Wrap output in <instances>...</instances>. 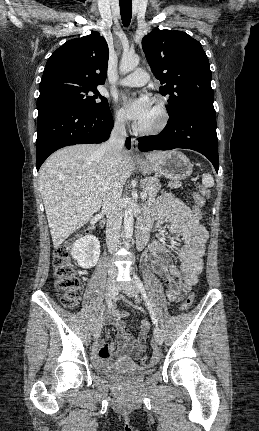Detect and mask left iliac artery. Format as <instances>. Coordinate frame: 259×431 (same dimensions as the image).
<instances>
[{"label": "left iliac artery", "mask_w": 259, "mask_h": 431, "mask_svg": "<svg viewBox=\"0 0 259 431\" xmlns=\"http://www.w3.org/2000/svg\"><path fill=\"white\" fill-rule=\"evenodd\" d=\"M134 279H135V282H136V284H137V286H138V288H139V290H140V292H141V294L143 296L144 301L146 302V305L148 307V310H149V313H150V316H151V319H152L153 323L156 326H158L157 318L155 316L154 310H153L152 305L150 303V300H149V298L147 296V293H146V290L144 288L143 283L141 282L140 278L136 274H134Z\"/></svg>", "instance_id": "left-iliac-artery-1"}]
</instances>
